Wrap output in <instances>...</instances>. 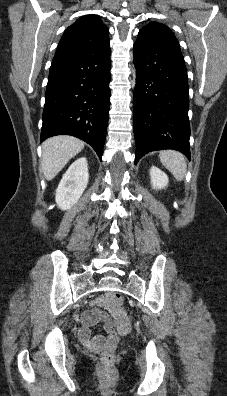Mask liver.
<instances>
[{
	"label": "liver",
	"instance_id": "1",
	"mask_svg": "<svg viewBox=\"0 0 227 396\" xmlns=\"http://www.w3.org/2000/svg\"><path fill=\"white\" fill-rule=\"evenodd\" d=\"M84 148V142L72 136H55L42 144L41 169L52 180Z\"/></svg>",
	"mask_w": 227,
	"mask_h": 396
}]
</instances>
